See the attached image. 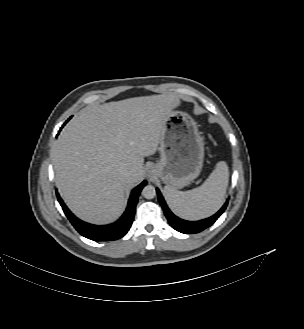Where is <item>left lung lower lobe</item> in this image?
<instances>
[{"instance_id": "0a47b994", "label": "left lung lower lobe", "mask_w": 304, "mask_h": 329, "mask_svg": "<svg viewBox=\"0 0 304 329\" xmlns=\"http://www.w3.org/2000/svg\"><path fill=\"white\" fill-rule=\"evenodd\" d=\"M157 194H158V200L160 202V205L162 206L164 210V214L166 215V218L168 219V222L170 225L177 231L184 233V234H190V233H198L201 232L202 230L208 228L211 226L219 217L220 215L224 212V210L227 207L228 201L223 205V207L213 216L199 220V221H185L177 216H175L168 206L166 205V202L164 201V198L162 197L160 191L156 189Z\"/></svg>"}]
</instances>
